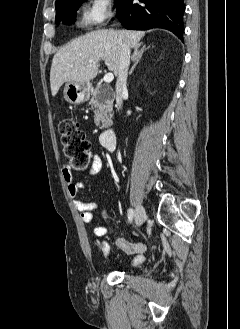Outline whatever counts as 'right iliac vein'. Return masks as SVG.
Masks as SVG:
<instances>
[{"mask_svg":"<svg viewBox=\"0 0 240 329\" xmlns=\"http://www.w3.org/2000/svg\"><path fill=\"white\" fill-rule=\"evenodd\" d=\"M146 219V211L142 205L136 207L135 212V224L137 227H140Z\"/></svg>","mask_w":240,"mask_h":329,"instance_id":"obj_1","label":"right iliac vein"}]
</instances>
